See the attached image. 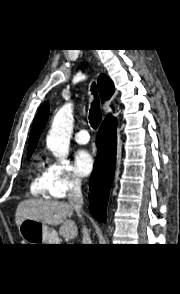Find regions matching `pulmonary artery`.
<instances>
[{"label": "pulmonary artery", "mask_w": 180, "mask_h": 294, "mask_svg": "<svg viewBox=\"0 0 180 294\" xmlns=\"http://www.w3.org/2000/svg\"><path fill=\"white\" fill-rule=\"evenodd\" d=\"M75 140L79 144H87L90 140V136L87 130H80L75 135Z\"/></svg>", "instance_id": "e3ab8cb5"}]
</instances>
